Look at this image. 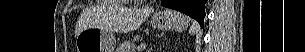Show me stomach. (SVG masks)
Returning <instances> with one entry per match:
<instances>
[{"label": "stomach", "instance_id": "obj_1", "mask_svg": "<svg viewBox=\"0 0 305 52\" xmlns=\"http://www.w3.org/2000/svg\"><path fill=\"white\" fill-rule=\"evenodd\" d=\"M152 26L160 31H182L188 27L190 19L176 11L165 10L155 13ZM114 35L100 27H89L76 37L77 52H114Z\"/></svg>", "mask_w": 305, "mask_h": 52}]
</instances>
